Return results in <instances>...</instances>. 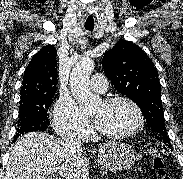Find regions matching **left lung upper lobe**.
Masks as SVG:
<instances>
[{"label":"left lung upper lobe","instance_id":"1","mask_svg":"<svg viewBox=\"0 0 183 179\" xmlns=\"http://www.w3.org/2000/svg\"><path fill=\"white\" fill-rule=\"evenodd\" d=\"M104 72L115 89L142 110L157 139L170 144L164 125L158 72L146 53L131 41L119 40L103 57Z\"/></svg>","mask_w":183,"mask_h":179}]
</instances>
